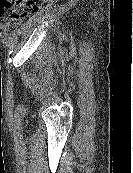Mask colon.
Segmentation results:
<instances>
[{"label":"colon","instance_id":"5ec220e1","mask_svg":"<svg viewBox=\"0 0 133 173\" xmlns=\"http://www.w3.org/2000/svg\"><path fill=\"white\" fill-rule=\"evenodd\" d=\"M56 0H0V31L13 29L23 16L36 13Z\"/></svg>","mask_w":133,"mask_h":173}]
</instances>
